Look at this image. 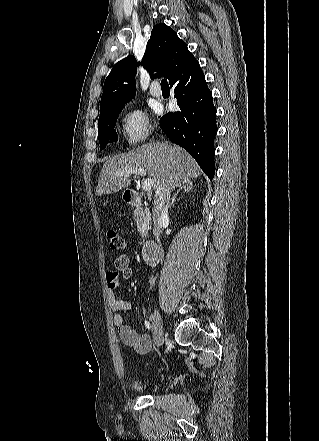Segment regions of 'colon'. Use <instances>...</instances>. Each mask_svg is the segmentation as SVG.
<instances>
[{"mask_svg": "<svg viewBox=\"0 0 319 441\" xmlns=\"http://www.w3.org/2000/svg\"><path fill=\"white\" fill-rule=\"evenodd\" d=\"M107 238L111 250L120 251L125 248V241L123 237L116 230L109 229L107 231Z\"/></svg>", "mask_w": 319, "mask_h": 441, "instance_id": "1", "label": "colon"}]
</instances>
